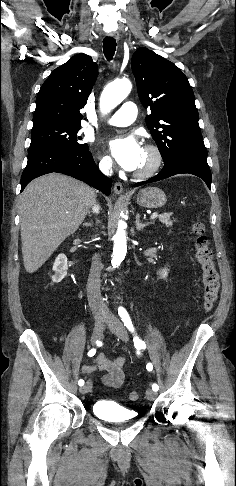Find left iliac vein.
<instances>
[{
    "label": "left iliac vein",
    "instance_id": "obj_1",
    "mask_svg": "<svg viewBox=\"0 0 236 486\" xmlns=\"http://www.w3.org/2000/svg\"><path fill=\"white\" fill-rule=\"evenodd\" d=\"M108 327L110 331L119 337L122 341H128V334L124 325L114 316H110L108 319ZM157 393L153 389L146 390V397L148 400H154Z\"/></svg>",
    "mask_w": 236,
    "mask_h": 486
}]
</instances>
